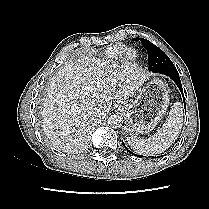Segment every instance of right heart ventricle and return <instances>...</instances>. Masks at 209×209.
Returning a JSON list of instances; mask_svg holds the SVG:
<instances>
[{"label": "right heart ventricle", "mask_w": 209, "mask_h": 209, "mask_svg": "<svg viewBox=\"0 0 209 209\" xmlns=\"http://www.w3.org/2000/svg\"><path fill=\"white\" fill-rule=\"evenodd\" d=\"M123 51V47L120 46V45H115V46H112L110 48H108L105 52H104V59L106 60H111V59H114V58H117L119 55H121ZM136 57V54L134 53L130 59H135Z\"/></svg>", "instance_id": "1"}]
</instances>
